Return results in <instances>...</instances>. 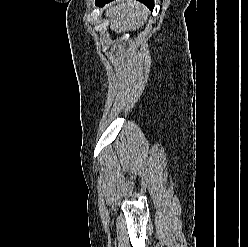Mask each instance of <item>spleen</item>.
I'll list each match as a JSON object with an SVG mask.
<instances>
[{
    "label": "spleen",
    "instance_id": "spleen-1",
    "mask_svg": "<svg viewBox=\"0 0 248 247\" xmlns=\"http://www.w3.org/2000/svg\"><path fill=\"white\" fill-rule=\"evenodd\" d=\"M106 16L110 19L111 29L118 33L136 30L147 19L146 9L135 0H122L117 5L108 6Z\"/></svg>",
    "mask_w": 248,
    "mask_h": 247
}]
</instances>
